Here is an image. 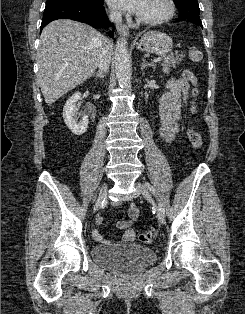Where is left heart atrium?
Segmentation results:
<instances>
[{"label":"left heart atrium","instance_id":"left-heart-atrium-1","mask_svg":"<svg viewBox=\"0 0 245 314\" xmlns=\"http://www.w3.org/2000/svg\"><path fill=\"white\" fill-rule=\"evenodd\" d=\"M108 4L119 11L138 14L142 11L146 0H107Z\"/></svg>","mask_w":245,"mask_h":314}]
</instances>
